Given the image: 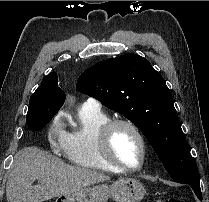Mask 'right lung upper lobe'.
I'll use <instances>...</instances> for the list:
<instances>
[{"mask_svg":"<svg viewBox=\"0 0 209 202\" xmlns=\"http://www.w3.org/2000/svg\"><path fill=\"white\" fill-rule=\"evenodd\" d=\"M51 89L55 96L52 104L61 107L65 100V93L58 87V76L55 72L49 73L43 78L41 85L37 89Z\"/></svg>","mask_w":209,"mask_h":202,"instance_id":"cb5924a9","label":"right lung upper lobe"}]
</instances>
